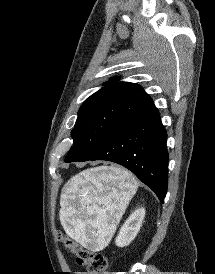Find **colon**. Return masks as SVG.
Masks as SVG:
<instances>
[{"instance_id": "5ec220e1", "label": "colon", "mask_w": 215, "mask_h": 274, "mask_svg": "<svg viewBox=\"0 0 215 274\" xmlns=\"http://www.w3.org/2000/svg\"><path fill=\"white\" fill-rule=\"evenodd\" d=\"M61 240L76 255V262L87 268V274H108V260L103 254L86 249L73 240L64 237Z\"/></svg>"}]
</instances>
